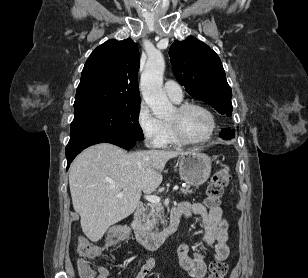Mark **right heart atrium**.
Returning a JSON list of instances; mask_svg holds the SVG:
<instances>
[{
    "mask_svg": "<svg viewBox=\"0 0 308 278\" xmlns=\"http://www.w3.org/2000/svg\"><path fill=\"white\" fill-rule=\"evenodd\" d=\"M137 124L144 140L150 146L163 147L165 145L167 139L166 124L157 118L144 103L139 107Z\"/></svg>",
    "mask_w": 308,
    "mask_h": 278,
    "instance_id": "obj_1",
    "label": "right heart atrium"
}]
</instances>
